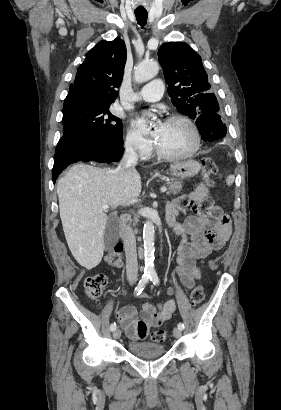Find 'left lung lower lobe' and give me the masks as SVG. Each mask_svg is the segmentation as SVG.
Listing matches in <instances>:
<instances>
[{
    "label": "left lung lower lobe",
    "mask_w": 281,
    "mask_h": 410,
    "mask_svg": "<svg viewBox=\"0 0 281 410\" xmlns=\"http://www.w3.org/2000/svg\"><path fill=\"white\" fill-rule=\"evenodd\" d=\"M196 124L203 141L218 140L223 138L227 132L226 126L222 123L218 114H201L198 116Z\"/></svg>",
    "instance_id": "0a47b994"
}]
</instances>
